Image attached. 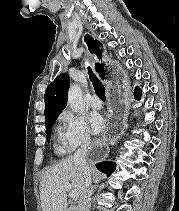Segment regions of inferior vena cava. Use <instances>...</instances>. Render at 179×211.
Wrapping results in <instances>:
<instances>
[{
  "instance_id": "1",
  "label": "inferior vena cava",
  "mask_w": 179,
  "mask_h": 211,
  "mask_svg": "<svg viewBox=\"0 0 179 211\" xmlns=\"http://www.w3.org/2000/svg\"><path fill=\"white\" fill-rule=\"evenodd\" d=\"M90 138H86L74 154V160L78 162L84 172V190L79 201V211H90V202L93 189L91 187V168L86 162V155Z\"/></svg>"
}]
</instances>
